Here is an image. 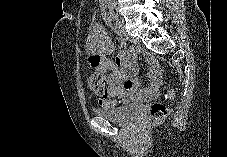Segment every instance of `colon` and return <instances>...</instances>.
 Returning <instances> with one entry per match:
<instances>
[{
    "label": "colon",
    "instance_id": "1",
    "mask_svg": "<svg viewBox=\"0 0 227 157\" xmlns=\"http://www.w3.org/2000/svg\"><path fill=\"white\" fill-rule=\"evenodd\" d=\"M88 86L96 93L102 94L104 90V78L101 74L96 72L90 73L87 77ZM176 90L174 88H170L165 92V98L168 101H171L175 98ZM102 105L111 107L115 106V101L104 100L102 101ZM169 108L163 103H153L150 109V114L153 122H160L164 120L169 114Z\"/></svg>",
    "mask_w": 227,
    "mask_h": 157
}]
</instances>
